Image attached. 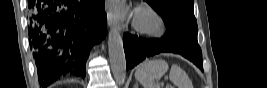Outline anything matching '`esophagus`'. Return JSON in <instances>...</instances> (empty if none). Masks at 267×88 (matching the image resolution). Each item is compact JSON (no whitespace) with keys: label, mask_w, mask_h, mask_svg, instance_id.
I'll return each instance as SVG.
<instances>
[{"label":"esophagus","mask_w":267,"mask_h":88,"mask_svg":"<svg viewBox=\"0 0 267 88\" xmlns=\"http://www.w3.org/2000/svg\"><path fill=\"white\" fill-rule=\"evenodd\" d=\"M107 20H108V25L110 27L118 28L121 32L120 26L114 21L113 16L110 13H107Z\"/></svg>","instance_id":"obj_1"}]
</instances>
